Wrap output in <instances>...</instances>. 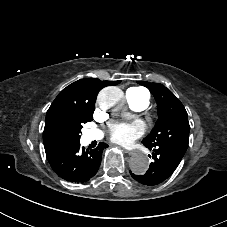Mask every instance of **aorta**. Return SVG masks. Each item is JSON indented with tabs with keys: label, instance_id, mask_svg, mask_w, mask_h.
Listing matches in <instances>:
<instances>
[{
	"label": "aorta",
	"instance_id": "1",
	"mask_svg": "<svg viewBox=\"0 0 227 227\" xmlns=\"http://www.w3.org/2000/svg\"><path fill=\"white\" fill-rule=\"evenodd\" d=\"M124 93L118 87H106L98 95V104L103 109L121 107ZM130 169L135 174H145L149 168V161L143 154H136L129 161Z\"/></svg>",
	"mask_w": 227,
	"mask_h": 227
}]
</instances>
